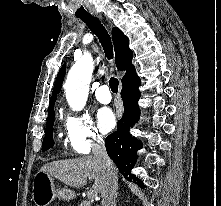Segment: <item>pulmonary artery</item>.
<instances>
[{"label":"pulmonary artery","mask_w":221,"mask_h":206,"mask_svg":"<svg viewBox=\"0 0 221 206\" xmlns=\"http://www.w3.org/2000/svg\"><path fill=\"white\" fill-rule=\"evenodd\" d=\"M96 99L103 104L111 101L110 87L108 85H101L95 91Z\"/></svg>","instance_id":"obj_1"}]
</instances>
